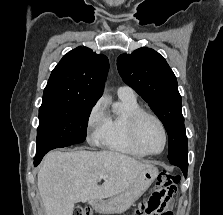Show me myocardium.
Instances as JSON below:
<instances>
[{
	"label": "myocardium",
	"mask_w": 223,
	"mask_h": 215,
	"mask_svg": "<svg viewBox=\"0 0 223 215\" xmlns=\"http://www.w3.org/2000/svg\"><path fill=\"white\" fill-rule=\"evenodd\" d=\"M144 118L152 119L153 121L156 122V124L160 128V131H161V134H162V146H161L160 150L157 151V152H153V153L144 152L140 149L139 141H138V129H139L141 121ZM130 136H131V140H132L134 146L138 149L139 153L142 156H158L163 152V150L166 146L167 135H166V130H165V127H164L163 123L161 122V120L156 115H154L150 112H147L145 110H141L133 116V118L131 120V124H130Z\"/></svg>",
	"instance_id": "f54148a6"
}]
</instances>
